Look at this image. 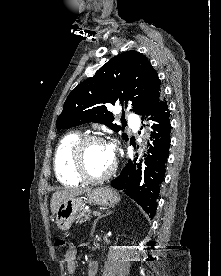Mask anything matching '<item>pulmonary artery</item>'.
Masks as SVG:
<instances>
[{
    "instance_id": "1",
    "label": "pulmonary artery",
    "mask_w": 221,
    "mask_h": 276,
    "mask_svg": "<svg viewBox=\"0 0 221 276\" xmlns=\"http://www.w3.org/2000/svg\"><path fill=\"white\" fill-rule=\"evenodd\" d=\"M135 119H136V116H135L134 114H130V115H129V120H130V121L133 122V121H135ZM136 127H137V126L135 125V128H136Z\"/></svg>"
}]
</instances>
